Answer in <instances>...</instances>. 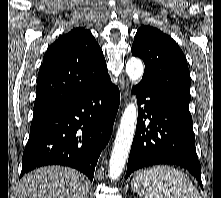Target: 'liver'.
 <instances>
[{"label":"liver","mask_w":221,"mask_h":198,"mask_svg":"<svg viewBox=\"0 0 221 198\" xmlns=\"http://www.w3.org/2000/svg\"><path fill=\"white\" fill-rule=\"evenodd\" d=\"M89 181L69 167L46 166L25 175L15 198H88Z\"/></svg>","instance_id":"liver-1"}]
</instances>
